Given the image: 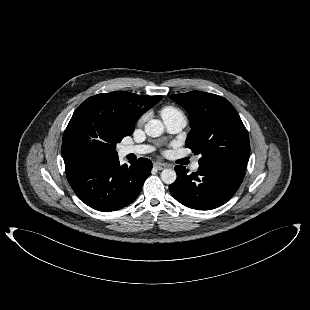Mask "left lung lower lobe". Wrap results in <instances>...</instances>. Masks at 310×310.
<instances>
[{"instance_id": "obj_1", "label": "left lung lower lobe", "mask_w": 310, "mask_h": 310, "mask_svg": "<svg viewBox=\"0 0 310 310\" xmlns=\"http://www.w3.org/2000/svg\"><path fill=\"white\" fill-rule=\"evenodd\" d=\"M176 181L169 186L171 195L181 204L198 210H210L226 203L236 193L245 172L224 165H199L188 174L184 166H175Z\"/></svg>"}]
</instances>
